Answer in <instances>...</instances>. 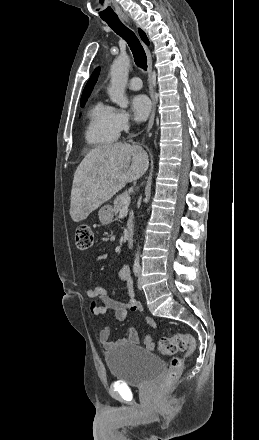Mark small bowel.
<instances>
[{
    "mask_svg": "<svg viewBox=\"0 0 259 440\" xmlns=\"http://www.w3.org/2000/svg\"><path fill=\"white\" fill-rule=\"evenodd\" d=\"M115 240L114 236L104 237L102 241L105 242H113ZM100 260L105 258V255H99ZM119 277L122 282L125 283L127 287L128 293V301L122 302L116 299H113L108 296V291L102 287L89 288L86 290L87 297L94 299L90 304V313L92 316H100L104 315L108 312V310L113 311V318L116 322L124 321L129 312H138L141 313L143 308L140 302L136 299L135 291L133 287V281L131 277L130 268L128 265H123L119 271ZM101 297V301L96 300V298ZM144 321L150 327L155 328L156 322L149 318L145 317ZM99 340L101 344L106 349H111L116 346H124L129 344H138L139 335L135 328H129L124 337L112 341L111 340V330L108 327H103L99 333ZM145 345L148 349L152 350L154 348V343L151 340L150 335H146L145 337Z\"/></svg>",
    "mask_w": 259,
    "mask_h": 440,
    "instance_id": "c3829d8e",
    "label": "small bowel"
}]
</instances>
